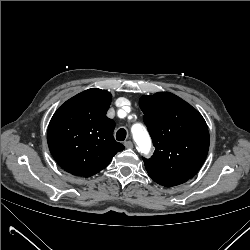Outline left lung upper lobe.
<instances>
[{
	"instance_id": "left-lung-upper-lobe-1",
	"label": "left lung upper lobe",
	"mask_w": 250,
	"mask_h": 250,
	"mask_svg": "<svg viewBox=\"0 0 250 250\" xmlns=\"http://www.w3.org/2000/svg\"><path fill=\"white\" fill-rule=\"evenodd\" d=\"M139 105L155 147L150 159L143 158L149 176L191 179L209 149V132L202 115L170 92L144 95Z\"/></svg>"
}]
</instances>
